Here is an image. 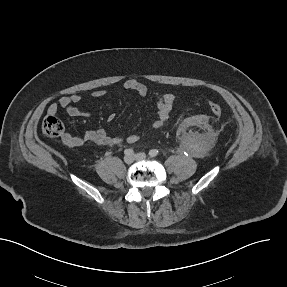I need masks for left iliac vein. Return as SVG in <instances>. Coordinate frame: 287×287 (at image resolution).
<instances>
[{"label": "left iliac vein", "mask_w": 287, "mask_h": 287, "mask_svg": "<svg viewBox=\"0 0 287 287\" xmlns=\"http://www.w3.org/2000/svg\"><path fill=\"white\" fill-rule=\"evenodd\" d=\"M134 158L136 160H142V159H145L146 158V154L145 153H138L134 156Z\"/></svg>", "instance_id": "4c4485c4"}]
</instances>
